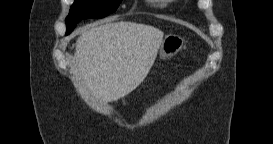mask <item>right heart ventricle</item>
<instances>
[{
    "mask_svg": "<svg viewBox=\"0 0 273 144\" xmlns=\"http://www.w3.org/2000/svg\"><path fill=\"white\" fill-rule=\"evenodd\" d=\"M150 2H151V4H152L153 6H155V7H159V6L162 5L161 3L156 2V1H150Z\"/></svg>",
    "mask_w": 273,
    "mask_h": 144,
    "instance_id": "e07e8e85",
    "label": "right heart ventricle"
}]
</instances>
